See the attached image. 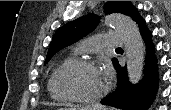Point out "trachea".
I'll return each instance as SVG.
<instances>
[{
	"mask_svg": "<svg viewBox=\"0 0 171 110\" xmlns=\"http://www.w3.org/2000/svg\"><path fill=\"white\" fill-rule=\"evenodd\" d=\"M116 49H122L121 47H118V48H116Z\"/></svg>",
	"mask_w": 171,
	"mask_h": 110,
	"instance_id": "trachea-1",
	"label": "trachea"
}]
</instances>
